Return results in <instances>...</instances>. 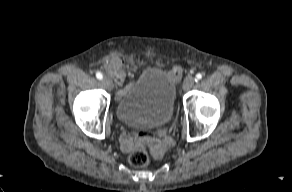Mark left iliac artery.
<instances>
[{
    "instance_id": "left-iliac-artery-1",
    "label": "left iliac artery",
    "mask_w": 292,
    "mask_h": 192,
    "mask_svg": "<svg viewBox=\"0 0 292 192\" xmlns=\"http://www.w3.org/2000/svg\"><path fill=\"white\" fill-rule=\"evenodd\" d=\"M202 78V74L201 73H198L195 77V81H198Z\"/></svg>"
}]
</instances>
